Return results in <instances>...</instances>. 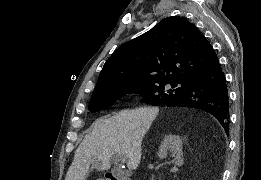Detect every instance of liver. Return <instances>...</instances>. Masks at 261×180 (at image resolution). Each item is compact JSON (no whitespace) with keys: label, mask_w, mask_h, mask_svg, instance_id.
Listing matches in <instances>:
<instances>
[{"label":"liver","mask_w":261,"mask_h":180,"mask_svg":"<svg viewBox=\"0 0 261 180\" xmlns=\"http://www.w3.org/2000/svg\"><path fill=\"white\" fill-rule=\"evenodd\" d=\"M157 108L121 110L93 124L92 132L78 146L68 170L67 180H85L89 170L105 172L115 154H126L127 168L136 170L141 160L143 138L156 118Z\"/></svg>","instance_id":"6515ba94"}]
</instances>
